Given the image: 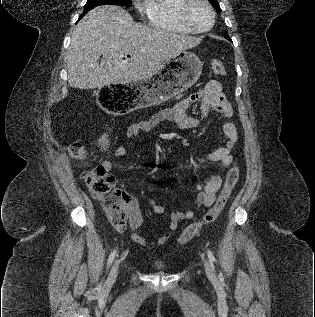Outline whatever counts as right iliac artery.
Segmentation results:
<instances>
[{"label":"right iliac artery","instance_id":"obj_1","mask_svg":"<svg viewBox=\"0 0 315 317\" xmlns=\"http://www.w3.org/2000/svg\"><path fill=\"white\" fill-rule=\"evenodd\" d=\"M117 251L114 250L110 255H109V258H108V268L110 267V265L112 264L114 258H115V255H116Z\"/></svg>","mask_w":315,"mask_h":317}]
</instances>
